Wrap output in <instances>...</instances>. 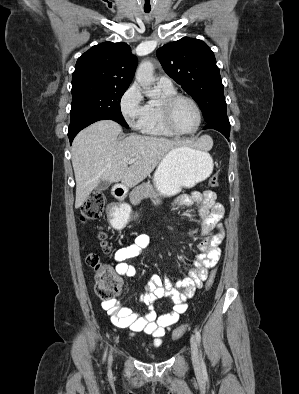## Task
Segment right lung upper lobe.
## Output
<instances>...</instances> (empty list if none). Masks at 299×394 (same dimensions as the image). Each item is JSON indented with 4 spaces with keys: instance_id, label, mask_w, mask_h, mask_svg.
I'll return each mask as SVG.
<instances>
[{
    "instance_id": "1",
    "label": "right lung upper lobe",
    "mask_w": 299,
    "mask_h": 394,
    "mask_svg": "<svg viewBox=\"0 0 299 394\" xmlns=\"http://www.w3.org/2000/svg\"><path fill=\"white\" fill-rule=\"evenodd\" d=\"M137 58L126 43L105 42L91 47L82 54L72 74V87L106 85L129 87Z\"/></svg>"
}]
</instances>
